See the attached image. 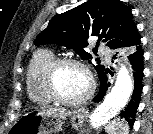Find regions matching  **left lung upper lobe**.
<instances>
[{
  "label": "left lung upper lobe",
  "instance_id": "5c2ea615",
  "mask_svg": "<svg viewBox=\"0 0 153 134\" xmlns=\"http://www.w3.org/2000/svg\"><path fill=\"white\" fill-rule=\"evenodd\" d=\"M89 37L107 42L112 49L137 46L140 36L129 7L119 0H89L67 12L54 16L48 27L35 40V45L59 44L74 49L83 59L92 56L83 48ZM90 63V61H89ZM98 77L103 65L94 66Z\"/></svg>",
  "mask_w": 153,
  "mask_h": 134
}]
</instances>
